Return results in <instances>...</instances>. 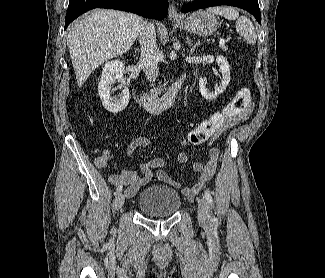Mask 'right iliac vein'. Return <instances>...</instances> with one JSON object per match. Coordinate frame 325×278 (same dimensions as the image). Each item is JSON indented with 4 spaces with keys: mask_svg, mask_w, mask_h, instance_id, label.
Instances as JSON below:
<instances>
[{
    "mask_svg": "<svg viewBox=\"0 0 325 278\" xmlns=\"http://www.w3.org/2000/svg\"><path fill=\"white\" fill-rule=\"evenodd\" d=\"M124 200H125V198H124L123 193H121V192L117 193L115 196V207L121 208L124 204Z\"/></svg>",
    "mask_w": 325,
    "mask_h": 278,
    "instance_id": "1",
    "label": "right iliac vein"
}]
</instances>
